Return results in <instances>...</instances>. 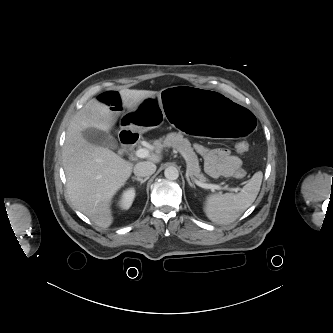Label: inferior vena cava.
I'll list each match as a JSON object with an SVG mask.
<instances>
[{
  "mask_svg": "<svg viewBox=\"0 0 333 333\" xmlns=\"http://www.w3.org/2000/svg\"><path fill=\"white\" fill-rule=\"evenodd\" d=\"M156 171V165L152 162H139L134 167V174L138 177H149Z\"/></svg>",
  "mask_w": 333,
  "mask_h": 333,
  "instance_id": "602c4592",
  "label": "inferior vena cava"
}]
</instances>
